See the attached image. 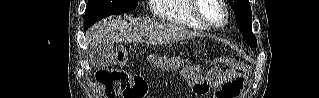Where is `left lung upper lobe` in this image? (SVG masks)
Wrapping results in <instances>:
<instances>
[{"label":"left lung upper lobe","instance_id":"obj_1","mask_svg":"<svg viewBox=\"0 0 319 98\" xmlns=\"http://www.w3.org/2000/svg\"><path fill=\"white\" fill-rule=\"evenodd\" d=\"M234 11L238 28L243 40L252 47H257L256 37L252 33V14L248 0H228Z\"/></svg>","mask_w":319,"mask_h":98}]
</instances>
